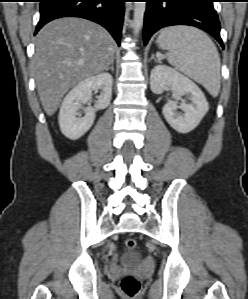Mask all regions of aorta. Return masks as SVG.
I'll return each instance as SVG.
<instances>
[{
  "mask_svg": "<svg viewBox=\"0 0 248 299\" xmlns=\"http://www.w3.org/2000/svg\"><path fill=\"white\" fill-rule=\"evenodd\" d=\"M145 10H146L145 2H135L134 16H133V27H134L135 36L139 34L142 28Z\"/></svg>",
  "mask_w": 248,
  "mask_h": 299,
  "instance_id": "obj_1",
  "label": "aorta"
}]
</instances>
